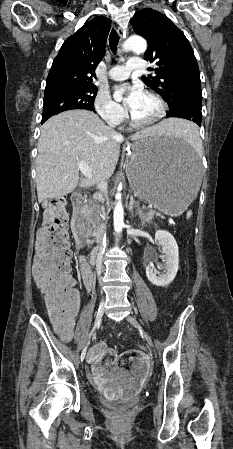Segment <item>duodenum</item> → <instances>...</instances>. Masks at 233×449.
<instances>
[{"label": "duodenum", "instance_id": "1", "mask_svg": "<svg viewBox=\"0 0 233 449\" xmlns=\"http://www.w3.org/2000/svg\"><path fill=\"white\" fill-rule=\"evenodd\" d=\"M85 198L81 194L74 195L72 198L73 214L72 227L77 238L80 240L82 234L86 230L85 218L83 214V204ZM100 253L98 250H93L89 257H82L81 272H94V265L99 261Z\"/></svg>", "mask_w": 233, "mask_h": 449}]
</instances>
